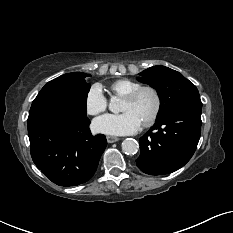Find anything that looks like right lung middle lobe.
Wrapping results in <instances>:
<instances>
[{
  "mask_svg": "<svg viewBox=\"0 0 233 233\" xmlns=\"http://www.w3.org/2000/svg\"><path fill=\"white\" fill-rule=\"evenodd\" d=\"M86 73L74 72L59 76L48 82L32 102L29 114L43 107H66L86 116L87 94L90 84Z\"/></svg>",
  "mask_w": 233,
  "mask_h": 233,
  "instance_id": "obj_1",
  "label": "right lung middle lobe"
}]
</instances>
